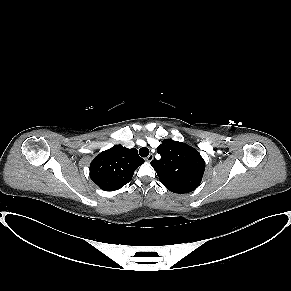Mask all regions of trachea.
I'll list each match as a JSON object with an SVG mask.
<instances>
[{"mask_svg": "<svg viewBox=\"0 0 291 291\" xmlns=\"http://www.w3.org/2000/svg\"><path fill=\"white\" fill-rule=\"evenodd\" d=\"M139 154L141 157H147L149 155V149L146 147H142L139 150Z\"/></svg>", "mask_w": 291, "mask_h": 291, "instance_id": "1", "label": "trachea"}]
</instances>
